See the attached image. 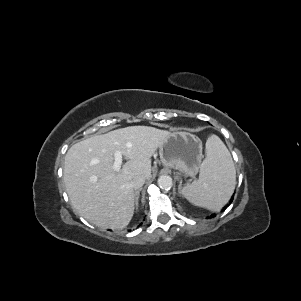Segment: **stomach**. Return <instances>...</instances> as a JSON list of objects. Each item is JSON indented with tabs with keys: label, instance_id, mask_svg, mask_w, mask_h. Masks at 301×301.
I'll use <instances>...</instances> for the list:
<instances>
[{
	"label": "stomach",
	"instance_id": "stomach-1",
	"mask_svg": "<svg viewBox=\"0 0 301 301\" xmlns=\"http://www.w3.org/2000/svg\"><path fill=\"white\" fill-rule=\"evenodd\" d=\"M159 155L164 166L178 170L187 176H195L203 158L202 142L192 133L172 132L160 145Z\"/></svg>",
	"mask_w": 301,
	"mask_h": 301
}]
</instances>
